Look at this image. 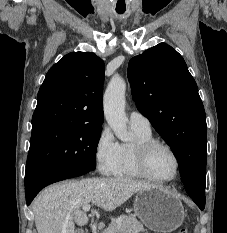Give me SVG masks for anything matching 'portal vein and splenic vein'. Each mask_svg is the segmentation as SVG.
Segmentation results:
<instances>
[{"mask_svg": "<svg viewBox=\"0 0 227 233\" xmlns=\"http://www.w3.org/2000/svg\"><path fill=\"white\" fill-rule=\"evenodd\" d=\"M90 207H91L90 204H86L82 207V209L84 212H88L90 210Z\"/></svg>", "mask_w": 227, "mask_h": 233, "instance_id": "obj_1", "label": "portal vein and splenic vein"}]
</instances>
